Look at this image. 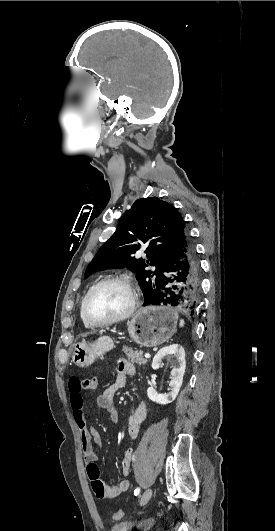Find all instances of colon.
I'll return each instance as SVG.
<instances>
[{"instance_id": "1", "label": "colon", "mask_w": 275, "mask_h": 531, "mask_svg": "<svg viewBox=\"0 0 275 531\" xmlns=\"http://www.w3.org/2000/svg\"><path fill=\"white\" fill-rule=\"evenodd\" d=\"M84 392H96L98 389L97 379L95 377H85V381L82 384ZM123 517V511L117 510L114 513L113 522H118V519Z\"/></svg>"}]
</instances>
